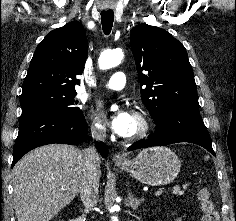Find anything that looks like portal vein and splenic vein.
I'll return each instance as SVG.
<instances>
[{
    "mask_svg": "<svg viewBox=\"0 0 236 221\" xmlns=\"http://www.w3.org/2000/svg\"><path fill=\"white\" fill-rule=\"evenodd\" d=\"M163 192H164L163 189H159V190H157V191L154 193V196H159V195H161Z\"/></svg>",
    "mask_w": 236,
    "mask_h": 221,
    "instance_id": "obj_1",
    "label": "portal vein and splenic vein"
}]
</instances>
